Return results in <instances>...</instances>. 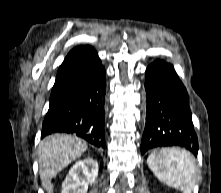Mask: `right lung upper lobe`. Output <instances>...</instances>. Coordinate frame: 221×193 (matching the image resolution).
Returning a JSON list of instances; mask_svg holds the SVG:
<instances>
[{"label": "right lung upper lobe", "instance_id": "right-lung-upper-lobe-1", "mask_svg": "<svg viewBox=\"0 0 221 193\" xmlns=\"http://www.w3.org/2000/svg\"><path fill=\"white\" fill-rule=\"evenodd\" d=\"M98 60L97 52L91 46L73 48L59 67L50 101L60 97Z\"/></svg>", "mask_w": 221, "mask_h": 193}]
</instances>
